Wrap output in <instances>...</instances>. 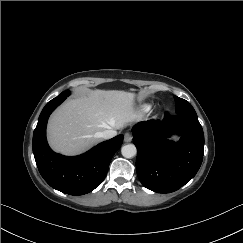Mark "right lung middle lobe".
<instances>
[{
  "mask_svg": "<svg viewBox=\"0 0 243 243\" xmlns=\"http://www.w3.org/2000/svg\"><path fill=\"white\" fill-rule=\"evenodd\" d=\"M70 94V91L69 90H66L64 92H62L59 96H57L56 98H66L68 95ZM54 98V99H56Z\"/></svg>",
  "mask_w": 243,
  "mask_h": 243,
  "instance_id": "right-lung-middle-lobe-1",
  "label": "right lung middle lobe"
}]
</instances>
